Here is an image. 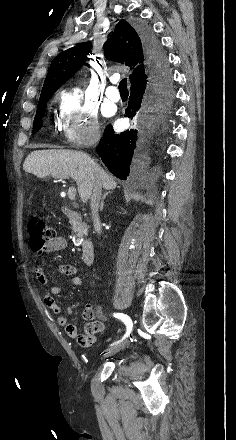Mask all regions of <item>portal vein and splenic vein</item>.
Segmentation results:
<instances>
[{
    "label": "portal vein and splenic vein",
    "instance_id": "obj_1",
    "mask_svg": "<svg viewBox=\"0 0 236 440\" xmlns=\"http://www.w3.org/2000/svg\"><path fill=\"white\" fill-rule=\"evenodd\" d=\"M58 178V177H55ZM61 180H63V178H60ZM68 197L70 200H75L76 197V189L74 187H69L68 189Z\"/></svg>",
    "mask_w": 236,
    "mask_h": 440
}]
</instances>
